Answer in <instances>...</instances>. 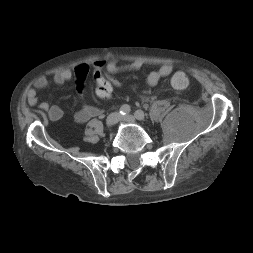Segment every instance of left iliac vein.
<instances>
[{
    "instance_id": "obj_1",
    "label": "left iliac vein",
    "mask_w": 253,
    "mask_h": 253,
    "mask_svg": "<svg viewBox=\"0 0 253 253\" xmlns=\"http://www.w3.org/2000/svg\"><path fill=\"white\" fill-rule=\"evenodd\" d=\"M121 119L126 122L135 123V117L133 115L122 116Z\"/></svg>"
}]
</instances>
